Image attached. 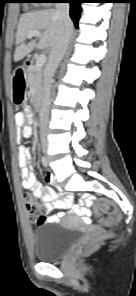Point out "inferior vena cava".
<instances>
[{"label":"inferior vena cava","mask_w":136,"mask_h":296,"mask_svg":"<svg viewBox=\"0 0 136 296\" xmlns=\"http://www.w3.org/2000/svg\"><path fill=\"white\" fill-rule=\"evenodd\" d=\"M69 3H56V14L60 21V28L56 43L52 47L49 61L44 70V88L41 109L39 112L41 142L47 147V127L49 123V107L51 104V83L56 70L64 57L72 31V22L69 16Z\"/></svg>","instance_id":"inferior-vena-cava-1"}]
</instances>
